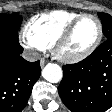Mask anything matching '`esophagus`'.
<instances>
[{"mask_svg": "<svg viewBox=\"0 0 112 112\" xmlns=\"http://www.w3.org/2000/svg\"><path fill=\"white\" fill-rule=\"evenodd\" d=\"M46 61L44 59L40 60V66L43 67L45 65Z\"/></svg>", "mask_w": 112, "mask_h": 112, "instance_id": "obj_1", "label": "esophagus"}]
</instances>
